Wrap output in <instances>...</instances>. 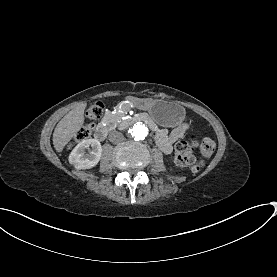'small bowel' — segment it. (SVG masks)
<instances>
[{
  "instance_id": "obj_1",
  "label": "small bowel",
  "mask_w": 277,
  "mask_h": 277,
  "mask_svg": "<svg viewBox=\"0 0 277 277\" xmlns=\"http://www.w3.org/2000/svg\"><path fill=\"white\" fill-rule=\"evenodd\" d=\"M190 126L187 122L178 124L175 128L168 131L164 128H157L155 139L158 147L165 154H169L173 150V144L184 137Z\"/></svg>"
}]
</instances>
